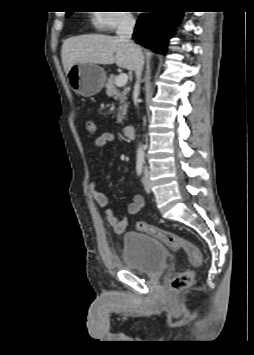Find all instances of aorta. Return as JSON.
<instances>
[{
	"label": "aorta",
	"mask_w": 254,
	"mask_h": 355,
	"mask_svg": "<svg viewBox=\"0 0 254 355\" xmlns=\"http://www.w3.org/2000/svg\"><path fill=\"white\" fill-rule=\"evenodd\" d=\"M137 155L138 156H144V149L141 145H139L138 149H137Z\"/></svg>",
	"instance_id": "762f6f07"
}]
</instances>
